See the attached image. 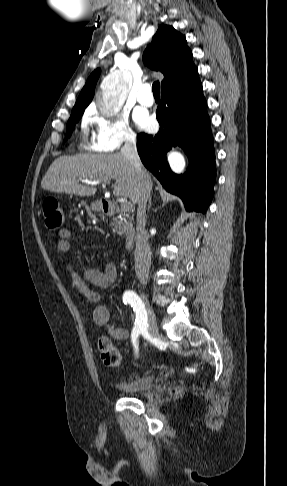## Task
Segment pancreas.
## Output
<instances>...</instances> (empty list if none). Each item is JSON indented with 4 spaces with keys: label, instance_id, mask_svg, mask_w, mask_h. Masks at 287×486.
<instances>
[{
    "label": "pancreas",
    "instance_id": "pancreas-1",
    "mask_svg": "<svg viewBox=\"0 0 287 486\" xmlns=\"http://www.w3.org/2000/svg\"><path fill=\"white\" fill-rule=\"evenodd\" d=\"M121 217L116 220L115 229L119 235H122L126 229H132V218L125 210H119Z\"/></svg>",
    "mask_w": 287,
    "mask_h": 486
}]
</instances>
